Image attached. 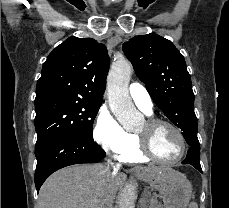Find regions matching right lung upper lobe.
<instances>
[{
	"label": "right lung upper lobe",
	"mask_w": 229,
	"mask_h": 208,
	"mask_svg": "<svg viewBox=\"0 0 229 208\" xmlns=\"http://www.w3.org/2000/svg\"><path fill=\"white\" fill-rule=\"evenodd\" d=\"M108 69L109 56L104 44L72 36L44 62L35 101L66 96L102 104Z\"/></svg>",
	"instance_id": "1"
}]
</instances>
